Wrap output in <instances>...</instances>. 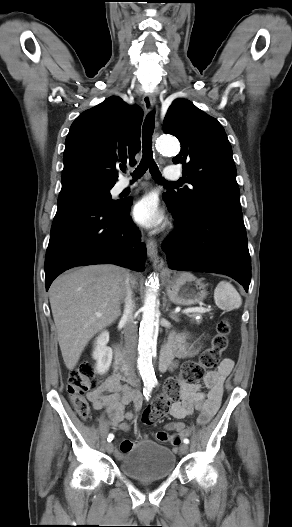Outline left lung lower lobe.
<instances>
[{"label":"left lung lower lobe","mask_w":292,"mask_h":527,"mask_svg":"<svg viewBox=\"0 0 292 527\" xmlns=\"http://www.w3.org/2000/svg\"><path fill=\"white\" fill-rule=\"evenodd\" d=\"M169 210L176 224V231L162 244L169 267L225 274L248 291L251 265L241 210L205 208L186 217Z\"/></svg>","instance_id":"1"}]
</instances>
